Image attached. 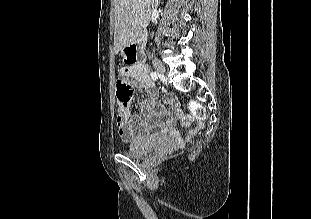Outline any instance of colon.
<instances>
[{"instance_id": "obj_1", "label": "colon", "mask_w": 311, "mask_h": 219, "mask_svg": "<svg viewBox=\"0 0 311 219\" xmlns=\"http://www.w3.org/2000/svg\"><path fill=\"white\" fill-rule=\"evenodd\" d=\"M128 48L126 50V54L128 56L127 62L133 64L136 62V59L134 56L128 53ZM132 94L133 89L130 82L127 79L126 74L120 75L116 80V96L120 107V111H124L127 108L129 101L131 100ZM189 107L197 119L200 120L204 119L205 111L199 104L191 103Z\"/></svg>"}]
</instances>
